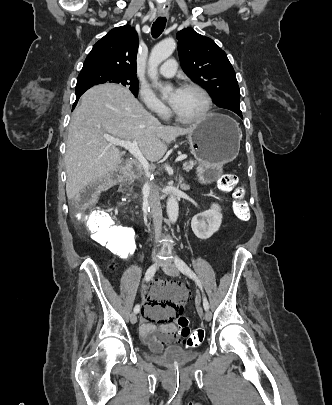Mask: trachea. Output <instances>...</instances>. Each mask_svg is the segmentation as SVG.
<instances>
[{
    "mask_svg": "<svg viewBox=\"0 0 332 405\" xmlns=\"http://www.w3.org/2000/svg\"><path fill=\"white\" fill-rule=\"evenodd\" d=\"M166 25V18L165 17H159L157 20L153 23L151 33L154 38L159 37V35L164 31Z\"/></svg>",
    "mask_w": 332,
    "mask_h": 405,
    "instance_id": "obj_1",
    "label": "trachea"
}]
</instances>
